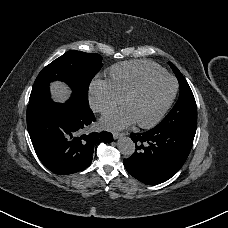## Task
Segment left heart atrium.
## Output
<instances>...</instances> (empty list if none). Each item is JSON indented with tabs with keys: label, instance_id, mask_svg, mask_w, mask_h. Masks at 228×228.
<instances>
[{
	"label": "left heart atrium",
	"instance_id": "obj_1",
	"mask_svg": "<svg viewBox=\"0 0 228 228\" xmlns=\"http://www.w3.org/2000/svg\"><path fill=\"white\" fill-rule=\"evenodd\" d=\"M135 121V117L128 107L110 113L107 124L114 128H123Z\"/></svg>",
	"mask_w": 228,
	"mask_h": 228
}]
</instances>
